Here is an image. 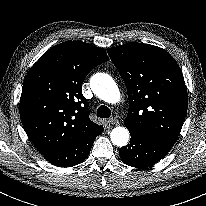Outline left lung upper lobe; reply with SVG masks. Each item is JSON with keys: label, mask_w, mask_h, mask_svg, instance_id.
<instances>
[{"label": "left lung upper lobe", "mask_w": 206, "mask_h": 206, "mask_svg": "<svg viewBox=\"0 0 206 206\" xmlns=\"http://www.w3.org/2000/svg\"><path fill=\"white\" fill-rule=\"evenodd\" d=\"M107 51L126 84L129 132L175 144L188 108L187 88L177 62L164 49L137 42Z\"/></svg>", "instance_id": "obj_1"}]
</instances>
